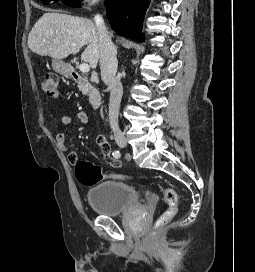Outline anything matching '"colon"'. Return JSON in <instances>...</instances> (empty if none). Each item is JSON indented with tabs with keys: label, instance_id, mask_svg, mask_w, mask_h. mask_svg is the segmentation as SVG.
<instances>
[{
	"label": "colon",
	"instance_id": "1",
	"mask_svg": "<svg viewBox=\"0 0 255 272\" xmlns=\"http://www.w3.org/2000/svg\"><path fill=\"white\" fill-rule=\"evenodd\" d=\"M41 88L50 98H56L58 95V75L55 73H47L41 80ZM112 178L133 180L132 176L121 173H104L100 166L93 164L89 161H80L76 164L75 175L78 181L85 185L91 186L101 180L107 175ZM165 201V208L157 218L155 227H163L175 216L178 208V195L177 192L167 186L160 187Z\"/></svg>",
	"mask_w": 255,
	"mask_h": 272
}]
</instances>
